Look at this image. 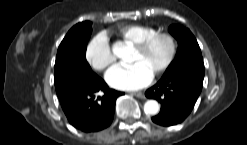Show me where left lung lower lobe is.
<instances>
[{"instance_id": "0a47b994", "label": "left lung lower lobe", "mask_w": 247, "mask_h": 145, "mask_svg": "<svg viewBox=\"0 0 247 145\" xmlns=\"http://www.w3.org/2000/svg\"><path fill=\"white\" fill-rule=\"evenodd\" d=\"M203 78V65H183L165 72L160 81L145 93L146 97L161 103V111L152 121L162 126L181 123L197 101Z\"/></svg>"}]
</instances>
